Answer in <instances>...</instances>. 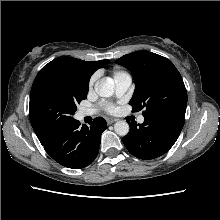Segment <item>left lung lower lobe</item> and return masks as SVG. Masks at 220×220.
<instances>
[{"instance_id":"0a47b994","label":"left lung lower lobe","mask_w":220,"mask_h":220,"mask_svg":"<svg viewBox=\"0 0 220 220\" xmlns=\"http://www.w3.org/2000/svg\"><path fill=\"white\" fill-rule=\"evenodd\" d=\"M186 108H170L144 115L142 124H131L122 138L127 150L143 160L165 154L176 142L185 122Z\"/></svg>"}]
</instances>
